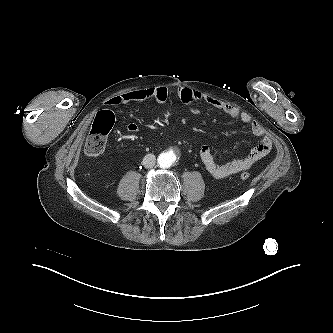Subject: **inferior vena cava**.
I'll return each mask as SVG.
<instances>
[{"label": "inferior vena cava", "mask_w": 333, "mask_h": 333, "mask_svg": "<svg viewBox=\"0 0 333 333\" xmlns=\"http://www.w3.org/2000/svg\"><path fill=\"white\" fill-rule=\"evenodd\" d=\"M156 157L154 154H147L142 160V164L145 168H152L155 165Z\"/></svg>", "instance_id": "obj_1"}]
</instances>
